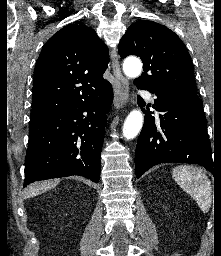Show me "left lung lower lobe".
Returning a JSON list of instances; mask_svg holds the SVG:
<instances>
[{"mask_svg":"<svg viewBox=\"0 0 221 256\" xmlns=\"http://www.w3.org/2000/svg\"><path fill=\"white\" fill-rule=\"evenodd\" d=\"M148 91L157 97L152 107L161 114L160 120H155L151 112L144 111V125L135 154L136 177L160 163L199 164L213 172L211 143L200 98ZM137 103L141 107L145 105L140 96Z\"/></svg>","mask_w":221,"mask_h":256,"instance_id":"obj_1","label":"left lung lower lobe"}]
</instances>
